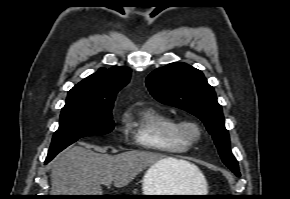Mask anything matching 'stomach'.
I'll list each match as a JSON object with an SVG mask.
<instances>
[{"instance_id": "stomach-1", "label": "stomach", "mask_w": 290, "mask_h": 199, "mask_svg": "<svg viewBox=\"0 0 290 199\" xmlns=\"http://www.w3.org/2000/svg\"><path fill=\"white\" fill-rule=\"evenodd\" d=\"M183 180L168 173L161 164L157 163L148 168L142 179L143 195H203L206 192V180L200 172L191 182L189 191L178 192ZM158 199H195L190 197H146Z\"/></svg>"}]
</instances>
